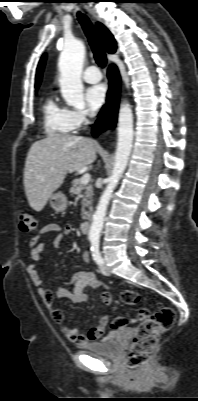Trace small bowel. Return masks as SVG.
Here are the masks:
<instances>
[{
    "label": "small bowel",
    "mask_w": 198,
    "mask_h": 401,
    "mask_svg": "<svg viewBox=\"0 0 198 401\" xmlns=\"http://www.w3.org/2000/svg\"><path fill=\"white\" fill-rule=\"evenodd\" d=\"M72 227L70 225L61 226L56 223L46 224L38 231V233L30 240V254L33 261H39L42 257L43 243L41 239L48 234H55L54 244L56 246H62L67 237L70 235ZM82 259L88 263L90 256L88 252H83ZM26 272L31 279V282L37 287L39 295L42 297L44 302L50 308L51 316L56 323H62L64 321V314L61 310L54 308V299H66L73 303H83L88 300L89 294L85 292L86 288H97L103 286L101 280L97 276L87 270H81L74 273L71 278L59 285L53 292L51 290L42 287V279L38 274L35 265H28ZM69 285H73L70 290ZM100 300L105 306H110L112 303V296L109 292H102ZM107 322V316H103L100 322L91 327L85 334L80 333L75 327L65 326L62 329L64 336L71 342L76 343L79 346L85 345L89 341H94L101 338L105 333Z\"/></svg>",
    "instance_id": "c3829d8e"
}]
</instances>
